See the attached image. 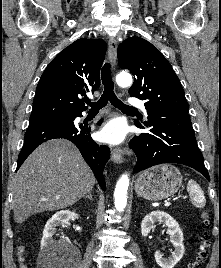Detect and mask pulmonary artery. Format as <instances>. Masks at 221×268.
<instances>
[{"label":"pulmonary artery","mask_w":221,"mask_h":268,"mask_svg":"<svg viewBox=\"0 0 221 268\" xmlns=\"http://www.w3.org/2000/svg\"><path fill=\"white\" fill-rule=\"evenodd\" d=\"M130 105H132L133 107H138L141 110H143L144 112H146L144 102L139 100V99H131L130 100Z\"/></svg>","instance_id":"1"}]
</instances>
